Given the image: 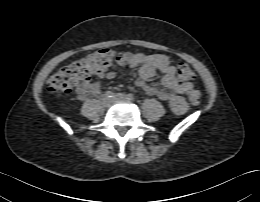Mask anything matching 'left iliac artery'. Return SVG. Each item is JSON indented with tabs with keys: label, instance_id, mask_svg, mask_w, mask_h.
Returning <instances> with one entry per match:
<instances>
[{
	"label": "left iliac artery",
	"instance_id": "44dca946",
	"mask_svg": "<svg viewBox=\"0 0 260 202\" xmlns=\"http://www.w3.org/2000/svg\"><path fill=\"white\" fill-rule=\"evenodd\" d=\"M129 101H134V97L132 94L126 95Z\"/></svg>",
	"mask_w": 260,
	"mask_h": 202
}]
</instances>
